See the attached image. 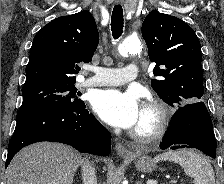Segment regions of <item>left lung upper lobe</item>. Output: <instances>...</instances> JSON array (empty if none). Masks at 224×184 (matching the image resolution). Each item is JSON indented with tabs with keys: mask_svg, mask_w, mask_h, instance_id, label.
<instances>
[{
	"mask_svg": "<svg viewBox=\"0 0 224 184\" xmlns=\"http://www.w3.org/2000/svg\"><path fill=\"white\" fill-rule=\"evenodd\" d=\"M157 79L151 87L171 106L201 101L204 94L201 45L194 30L177 17L153 11L142 24Z\"/></svg>",
	"mask_w": 224,
	"mask_h": 184,
	"instance_id": "1",
	"label": "left lung upper lobe"
}]
</instances>
